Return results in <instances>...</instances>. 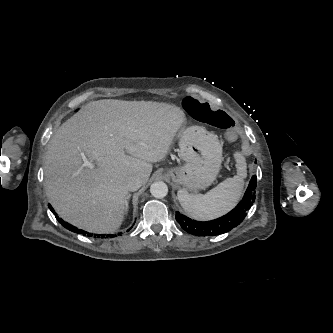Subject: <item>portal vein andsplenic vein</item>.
Segmentation results:
<instances>
[{"instance_id":"1","label":"portal vein and splenic vein","mask_w":333,"mask_h":333,"mask_svg":"<svg viewBox=\"0 0 333 333\" xmlns=\"http://www.w3.org/2000/svg\"><path fill=\"white\" fill-rule=\"evenodd\" d=\"M82 157L85 158L83 154H82ZM86 165H87V166H91V163L87 162Z\"/></svg>"}]
</instances>
